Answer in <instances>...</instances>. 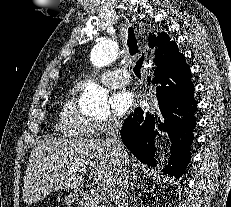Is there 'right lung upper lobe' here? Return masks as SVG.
I'll return each instance as SVG.
<instances>
[{
    "mask_svg": "<svg viewBox=\"0 0 231 207\" xmlns=\"http://www.w3.org/2000/svg\"><path fill=\"white\" fill-rule=\"evenodd\" d=\"M149 41L151 47H156L155 58L163 57V60H168L183 56L178 52L176 43L169 41V37L165 33H159L157 37L153 35Z\"/></svg>",
    "mask_w": 231,
    "mask_h": 207,
    "instance_id": "cb5924a9",
    "label": "right lung upper lobe"
}]
</instances>
